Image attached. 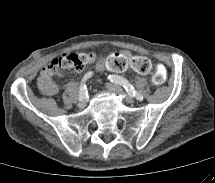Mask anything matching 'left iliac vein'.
<instances>
[{
  "label": "left iliac vein",
  "instance_id": "4c4485c4",
  "mask_svg": "<svg viewBox=\"0 0 215 183\" xmlns=\"http://www.w3.org/2000/svg\"><path fill=\"white\" fill-rule=\"evenodd\" d=\"M106 88L112 92H115L122 96L123 100L127 103H133L134 100L132 97L128 96L124 89L120 87L119 85L113 84V83H106Z\"/></svg>",
  "mask_w": 215,
  "mask_h": 183
}]
</instances>
